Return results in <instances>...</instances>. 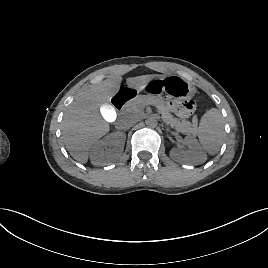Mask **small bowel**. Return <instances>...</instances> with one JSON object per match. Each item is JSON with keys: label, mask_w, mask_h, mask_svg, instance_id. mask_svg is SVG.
Returning <instances> with one entry per match:
<instances>
[{"label": "small bowel", "mask_w": 268, "mask_h": 268, "mask_svg": "<svg viewBox=\"0 0 268 268\" xmlns=\"http://www.w3.org/2000/svg\"><path fill=\"white\" fill-rule=\"evenodd\" d=\"M170 108L177 116L188 118L194 112L195 105L191 101L185 103L170 102Z\"/></svg>", "instance_id": "c3829d8e"}]
</instances>
